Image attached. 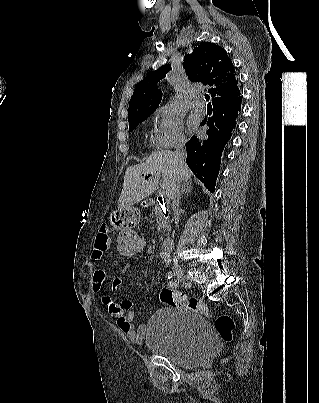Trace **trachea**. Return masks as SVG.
<instances>
[{
  "label": "trachea",
  "mask_w": 319,
  "mask_h": 403,
  "mask_svg": "<svg viewBox=\"0 0 319 403\" xmlns=\"http://www.w3.org/2000/svg\"><path fill=\"white\" fill-rule=\"evenodd\" d=\"M205 99L208 101L210 99V96L208 94H206ZM208 105H211V103H209Z\"/></svg>",
  "instance_id": "1"
}]
</instances>
